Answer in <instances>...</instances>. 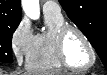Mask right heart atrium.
<instances>
[{"label":"right heart atrium","instance_id":"obj_1","mask_svg":"<svg viewBox=\"0 0 107 75\" xmlns=\"http://www.w3.org/2000/svg\"><path fill=\"white\" fill-rule=\"evenodd\" d=\"M35 35L27 19H22L12 32L10 45L12 53L19 65L27 61Z\"/></svg>","mask_w":107,"mask_h":75}]
</instances>
